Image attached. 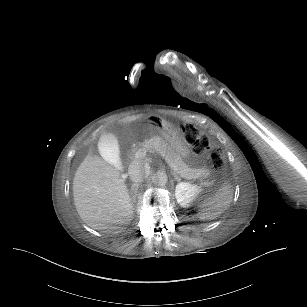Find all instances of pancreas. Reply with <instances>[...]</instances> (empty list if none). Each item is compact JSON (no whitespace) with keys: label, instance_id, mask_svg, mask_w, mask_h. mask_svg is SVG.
I'll list each match as a JSON object with an SVG mask.
<instances>
[{"label":"pancreas","instance_id":"pancreas-1","mask_svg":"<svg viewBox=\"0 0 307 307\" xmlns=\"http://www.w3.org/2000/svg\"><path fill=\"white\" fill-rule=\"evenodd\" d=\"M145 146L150 152H157L165 157L166 161L173 162L182 167V172H189L192 179L197 178H207L209 176V171L204 168L198 169L192 165H185L183 160H178L170 151H168L167 143L160 136L153 137L150 140H146Z\"/></svg>","mask_w":307,"mask_h":307}]
</instances>
